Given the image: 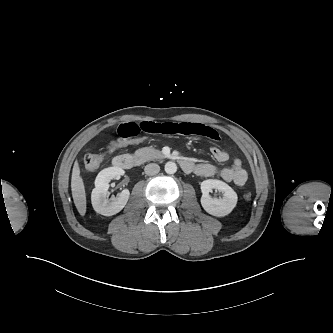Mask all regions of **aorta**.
<instances>
[{
  "label": "aorta",
  "mask_w": 333,
  "mask_h": 333,
  "mask_svg": "<svg viewBox=\"0 0 333 333\" xmlns=\"http://www.w3.org/2000/svg\"><path fill=\"white\" fill-rule=\"evenodd\" d=\"M164 169L167 174H174L177 171V165L175 162L170 161L165 164Z\"/></svg>",
  "instance_id": "762f6f07"
}]
</instances>
